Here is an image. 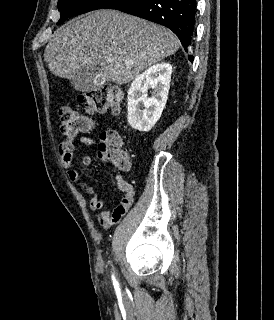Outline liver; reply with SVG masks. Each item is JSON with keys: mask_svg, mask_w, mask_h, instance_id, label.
Segmentation results:
<instances>
[{"mask_svg": "<svg viewBox=\"0 0 274 320\" xmlns=\"http://www.w3.org/2000/svg\"><path fill=\"white\" fill-rule=\"evenodd\" d=\"M178 48L177 36L164 26L118 10H96L58 28L43 56L54 76L75 80L80 72L99 70L104 82L122 86Z\"/></svg>", "mask_w": 274, "mask_h": 320, "instance_id": "1", "label": "liver"}]
</instances>
